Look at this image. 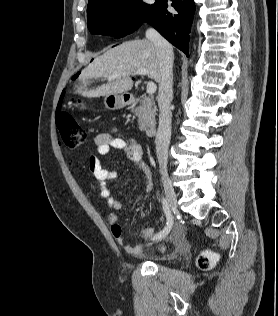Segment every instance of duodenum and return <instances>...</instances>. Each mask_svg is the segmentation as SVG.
Returning <instances> with one entry per match:
<instances>
[{"label":"duodenum","mask_w":278,"mask_h":316,"mask_svg":"<svg viewBox=\"0 0 278 316\" xmlns=\"http://www.w3.org/2000/svg\"><path fill=\"white\" fill-rule=\"evenodd\" d=\"M124 101L127 104H133V103H136L138 100L135 96H133L131 94H127L124 97ZM145 133L147 136H154L156 134V127L155 126H148L145 129Z\"/></svg>","instance_id":"duodenum-1"}]
</instances>
